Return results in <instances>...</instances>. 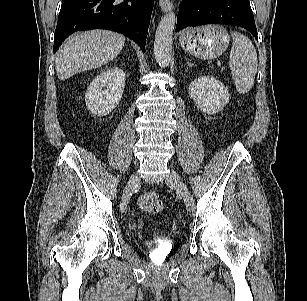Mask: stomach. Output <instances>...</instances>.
Segmentation results:
<instances>
[{
    "label": "stomach",
    "mask_w": 307,
    "mask_h": 301,
    "mask_svg": "<svg viewBox=\"0 0 307 301\" xmlns=\"http://www.w3.org/2000/svg\"><path fill=\"white\" fill-rule=\"evenodd\" d=\"M181 47L201 59H212L222 55L228 48L230 37L220 25L188 28L179 37Z\"/></svg>",
    "instance_id": "stomach-1"
}]
</instances>
